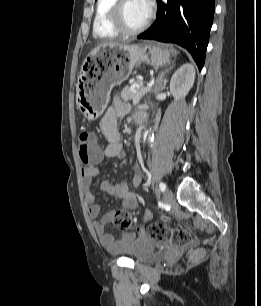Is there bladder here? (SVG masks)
I'll use <instances>...</instances> for the list:
<instances>
[{
    "mask_svg": "<svg viewBox=\"0 0 261 306\" xmlns=\"http://www.w3.org/2000/svg\"><path fill=\"white\" fill-rule=\"evenodd\" d=\"M127 257L137 264L154 262L157 258L156 244L145 239L138 240L127 253Z\"/></svg>",
    "mask_w": 261,
    "mask_h": 306,
    "instance_id": "1",
    "label": "bladder"
}]
</instances>
